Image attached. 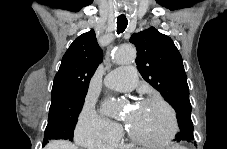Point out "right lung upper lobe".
<instances>
[{
	"label": "right lung upper lobe",
	"mask_w": 227,
	"mask_h": 149,
	"mask_svg": "<svg viewBox=\"0 0 227 149\" xmlns=\"http://www.w3.org/2000/svg\"><path fill=\"white\" fill-rule=\"evenodd\" d=\"M102 60L94 30L82 34L64 54L54 78L52 96L86 95L89 82Z\"/></svg>",
	"instance_id": "1"
}]
</instances>
